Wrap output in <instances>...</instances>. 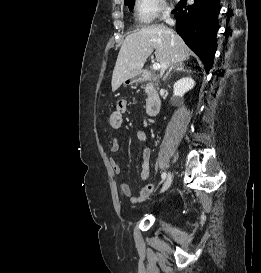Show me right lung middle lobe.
<instances>
[{
    "label": "right lung middle lobe",
    "instance_id": "dd1d6c3e",
    "mask_svg": "<svg viewBox=\"0 0 261 273\" xmlns=\"http://www.w3.org/2000/svg\"><path fill=\"white\" fill-rule=\"evenodd\" d=\"M125 5L129 6V9L131 10L133 8L134 5V0H125Z\"/></svg>",
    "mask_w": 261,
    "mask_h": 273
}]
</instances>
